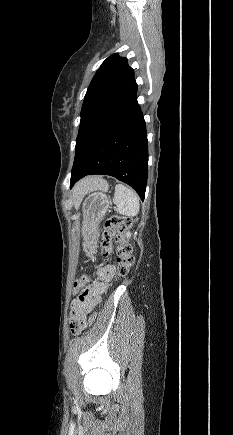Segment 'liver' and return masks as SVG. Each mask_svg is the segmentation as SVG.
<instances>
[{"instance_id": "liver-1", "label": "liver", "mask_w": 233, "mask_h": 435, "mask_svg": "<svg viewBox=\"0 0 233 435\" xmlns=\"http://www.w3.org/2000/svg\"><path fill=\"white\" fill-rule=\"evenodd\" d=\"M107 183L101 177L92 176L81 180L73 189L72 196L80 200L87 192L94 189H102Z\"/></svg>"}]
</instances>
